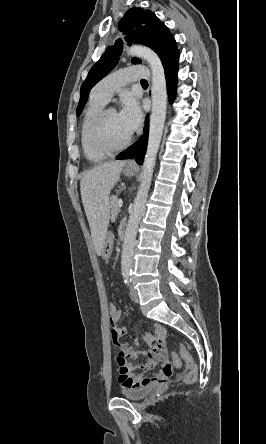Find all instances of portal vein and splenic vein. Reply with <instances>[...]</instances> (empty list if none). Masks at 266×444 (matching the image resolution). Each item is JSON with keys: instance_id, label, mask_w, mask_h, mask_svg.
<instances>
[{"instance_id": "portal-vein-and-splenic-vein-1", "label": "portal vein and splenic vein", "mask_w": 266, "mask_h": 444, "mask_svg": "<svg viewBox=\"0 0 266 444\" xmlns=\"http://www.w3.org/2000/svg\"><path fill=\"white\" fill-rule=\"evenodd\" d=\"M122 204H123L122 200L119 199V200H118V208H119V209L122 207Z\"/></svg>"}]
</instances>
